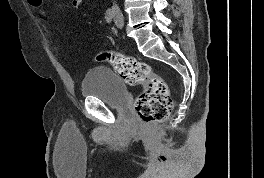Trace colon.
Masks as SVG:
<instances>
[{"instance_id":"obj_1","label":"colon","mask_w":264,"mask_h":178,"mask_svg":"<svg viewBox=\"0 0 264 178\" xmlns=\"http://www.w3.org/2000/svg\"><path fill=\"white\" fill-rule=\"evenodd\" d=\"M35 8H41L43 0H28ZM95 60L111 65L118 76L129 85H143L135 100V110L144 123L166 120L173 109L168 86L162 77L152 72L150 66L134 57L114 51H102Z\"/></svg>"}]
</instances>
